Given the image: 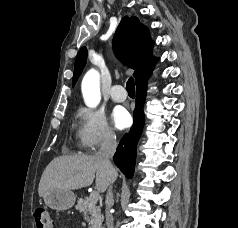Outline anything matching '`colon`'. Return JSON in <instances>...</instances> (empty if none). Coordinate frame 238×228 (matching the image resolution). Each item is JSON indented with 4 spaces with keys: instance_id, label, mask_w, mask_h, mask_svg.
I'll use <instances>...</instances> for the list:
<instances>
[{
    "instance_id": "obj_1",
    "label": "colon",
    "mask_w": 238,
    "mask_h": 228,
    "mask_svg": "<svg viewBox=\"0 0 238 228\" xmlns=\"http://www.w3.org/2000/svg\"><path fill=\"white\" fill-rule=\"evenodd\" d=\"M36 228H53V220L46 208L39 207L34 212Z\"/></svg>"
}]
</instances>
